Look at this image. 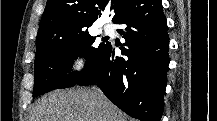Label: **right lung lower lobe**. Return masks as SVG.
<instances>
[{
	"label": "right lung lower lobe",
	"mask_w": 217,
	"mask_h": 121,
	"mask_svg": "<svg viewBox=\"0 0 217 121\" xmlns=\"http://www.w3.org/2000/svg\"><path fill=\"white\" fill-rule=\"evenodd\" d=\"M115 24L126 40L120 48L127 58L114 59L108 42L93 68L77 85L97 83L107 98L131 117L160 121L164 109L168 69L167 22L161 0H140Z\"/></svg>",
	"instance_id": "right-lung-lower-lobe-1"
}]
</instances>
